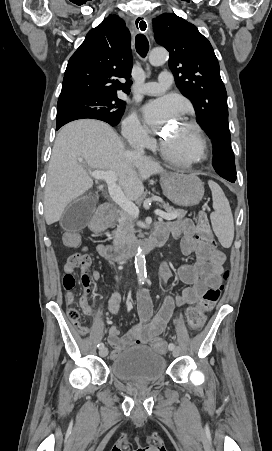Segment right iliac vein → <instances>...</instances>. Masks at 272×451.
Returning a JSON list of instances; mask_svg holds the SVG:
<instances>
[{
	"label": "right iliac vein",
	"instance_id": "1",
	"mask_svg": "<svg viewBox=\"0 0 272 451\" xmlns=\"http://www.w3.org/2000/svg\"><path fill=\"white\" fill-rule=\"evenodd\" d=\"M107 354H108V349L106 347H103L99 350L100 356L105 357V356H107Z\"/></svg>",
	"mask_w": 272,
	"mask_h": 451
}]
</instances>
